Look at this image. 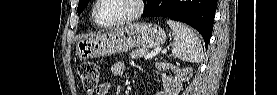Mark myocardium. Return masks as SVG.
Masks as SVG:
<instances>
[{"label":"myocardium","mask_w":277,"mask_h":95,"mask_svg":"<svg viewBox=\"0 0 277 95\" xmlns=\"http://www.w3.org/2000/svg\"><path fill=\"white\" fill-rule=\"evenodd\" d=\"M102 1L103 0H96L94 6L92 7V19L99 27H102V28H113L116 26H120V25L129 23V22L135 20L136 18H138L144 9V1L143 0H129L134 6V9L130 15L120 18L115 21L104 23L99 20V18L97 17V13H96L97 8L101 4Z\"/></svg>","instance_id":"f54148a6"}]
</instances>
